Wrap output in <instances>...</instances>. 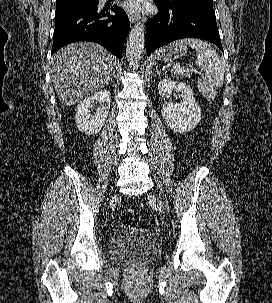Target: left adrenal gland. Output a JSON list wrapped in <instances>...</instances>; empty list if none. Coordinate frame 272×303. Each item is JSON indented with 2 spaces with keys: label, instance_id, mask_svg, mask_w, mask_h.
<instances>
[{
  "label": "left adrenal gland",
  "instance_id": "a2214340",
  "mask_svg": "<svg viewBox=\"0 0 272 303\" xmlns=\"http://www.w3.org/2000/svg\"><path fill=\"white\" fill-rule=\"evenodd\" d=\"M158 74H161V71L158 70V67L156 68V71H155V75H158Z\"/></svg>",
  "mask_w": 272,
  "mask_h": 303
}]
</instances>
